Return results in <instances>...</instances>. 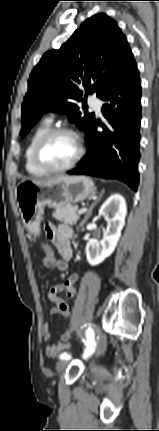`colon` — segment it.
Returning <instances> with one entry per match:
<instances>
[{
    "label": "colon",
    "instance_id": "obj_1",
    "mask_svg": "<svg viewBox=\"0 0 159 431\" xmlns=\"http://www.w3.org/2000/svg\"><path fill=\"white\" fill-rule=\"evenodd\" d=\"M40 241V250L43 251L47 260H52L54 255V249L52 248L51 243L44 237L41 238ZM63 316L64 319H69L70 312L68 310H64ZM71 338H74V335H71ZM74 344H78V341H74Z\"/></svg>",
    "mask_w": 159,
    "mask_h": 431
}]
</instances>
